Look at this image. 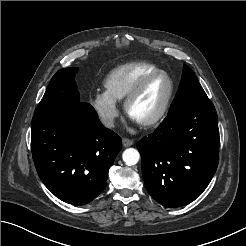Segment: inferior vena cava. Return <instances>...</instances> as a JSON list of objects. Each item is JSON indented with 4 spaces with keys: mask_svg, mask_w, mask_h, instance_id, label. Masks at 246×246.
I'll list each match as a JSON object with an SVG mask.
<instances>
[{
    "mask_svg": "<svg viewBox=\"0 0 246 246\" xmlns=\"http://www.w3.org/2000/svg\"><path fill=\"white\" fill-rule=\"evenodd\" d=\"M101 122L107 127H114V119L110 116H102Z\"/></svg>",
    "mask_w": 246,
    "mask_h": 246,
    "instance_id": "1",
    "label": "inferior vena cava"
}]
</instances>
